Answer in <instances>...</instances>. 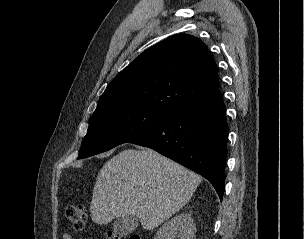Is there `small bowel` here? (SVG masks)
Returning a JSON list of instances; mask_svg holds the SVG:
<instances>
[{"label": "small bowel", "instance_id": "obj_1", "mask_svg": "<svg viewBox=\"0 0 304 239\" xmlns=\"http://www.w3.org/2000/svg\"><path fill=\"white\" fill-rule=\"evenodd\" d=\"M62 239H73V237L69 233H63L62 234Z\"/></svg>", "mask_w": 304, "mask_h": 239}]
</instances>
